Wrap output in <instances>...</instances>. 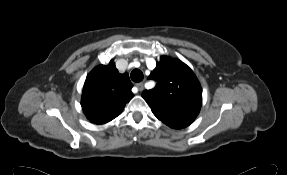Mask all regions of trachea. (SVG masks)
Segmentation results:
<instances>
[{
    "label": "trachea",
    "instance_id": "1",
    "mask_svg": "<svg viewBox=\"0 0 287 175\" xmlns=\"http://www.w3.org/2000/svg\"><path fill=\"white\" fill-rule=\"evenodd\" d=\"M130 77H131L133 82L138 83V82H141L143 80V73L139 69H134L131 72Z\"/></svg>",
    "mask_w": 287,
    "mask_h": 175
}]
</instances>
